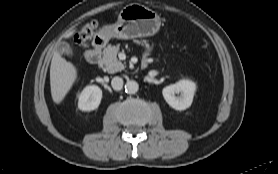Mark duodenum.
I'll return each mask as SVG.
<instances>
[{
    "label": "duodenum",
    "instance_id": "1",
    "mask_svg": "<svg viewBox=\"0 0 278 174\" xmlns=\"http://www.w3.org/2000/svg\"><path fill=\"white\" fill-rule=\"evenodd\" d=\"M104 45L105 40L102 37H96L93 42V47L89 49L85 54L86 60L91 64H96L101 58Z\"/></svg>",
    "mask_w": 278,
    "mask_h": 174
}]
</instances>
